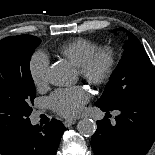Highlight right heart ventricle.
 I'll return each instance as SVG.
<instances>
[{"label": "right heart ventricle", "mask_w": 155, "mask_h": 155, "mask_svg": "<svg viewBox=\"0 0 155 155\" xmlns=\"http://www.w3.org/2000/svg\"><path fill=\"white\" fill-rule=\"evenodd\" d=\"M98 45L85 38L74 39L60 47V53L79 67L96 50Z\"/></svg>", "instance_id": "obj_1"}]
</instances>
